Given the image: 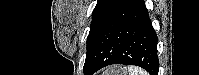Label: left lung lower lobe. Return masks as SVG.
<instances>
[{
  "label": "left lung lower lobe",
  "mask_w": 199,
  "mask_h": 75,
  "mask_svg": "<svg viewBox=\"0 0 199 75\" xmlns=\"http://www.w3.org/2000/svg\"><path fill=\"white\" fill-rule=\"evenodd\" d=\"M157 35L143 0H122L107 21L84 75L111 64L136 65L158 75Z\"/></svg>",
  "instance_id": "0a47b994"
}]
</instances>
